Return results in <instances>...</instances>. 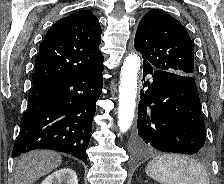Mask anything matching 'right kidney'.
I'll return each instance as SVG.
<instances>
[{"mask_svg": "<svg viewBox=\"0 0 224 184\" xmlns=\"http://www.w3.org/2000/svg\"><path fill=\"white\" fill-rule=\"evenodd\" d=\"M41 184H78L74 170L63 168L48 175Z\"/></svg>", "mask_w": 224, "mask_h": 184, "instance_id": "1", "label": "right kidney"}]
</instances>
